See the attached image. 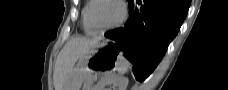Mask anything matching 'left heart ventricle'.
<instances>
[{"label":"left heart ventricle","instance_id":"obj_1","mask_svg":"<svg viewBox=\"0 0 228 90\" xmlns=\"http://www.w3.org/2000/svg\"><path fill=\"white\" fill-rule=\"evenodd\" d=\"M120 7L111 0H101L93 10V20L97 27L104 28L112 25L120 16Z\"/></svg>","mask_w":228,"mask_h":90}]
</instances>
